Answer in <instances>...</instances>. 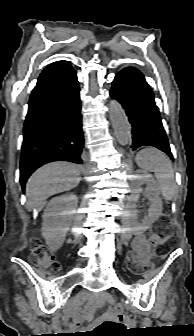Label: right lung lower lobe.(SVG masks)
Segmentation results:
<instances>
[{"instance_id":"right-lung-lower-lobe-1","label":"right lung lower lobe","mask_w":194,"mask_h":336,"mask_svg":"<svg viewBox=\"0 0 194 336\" xmlns=\"http://www.w3.org/2000/svg\"><path fill=\"white\" fill-rule=\"evenodd\" d=\"M79 85L68 62L48 66L40 74L29 100L23 127L20 181L50 161L82 163L84 137Z\"/></svg>"}]
</instances>
